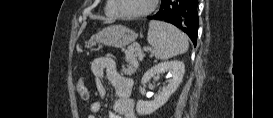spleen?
<instances>
[{
    "label": "spleen",
    "mask_w": 273,
    "mask_h": 118,
    "mask_svg": "<svg viewBox=\"0 0 273 118\" xmlns=\"http://www.w3.org/2000/svg\"><path fill=\"white\" fill-rule=\"evenodd\" d=\"M147 40L153 48L157 59L166 60L173 56L187 52L189 43L187 36L174 26L151 21Z\"/></svg>",
    "instance_id": "1"
}]
</instances>
